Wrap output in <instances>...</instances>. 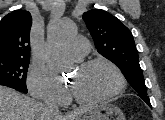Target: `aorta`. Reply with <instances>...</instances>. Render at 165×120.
<instances>
[{"instance_id": "762f6f07", "label": "aorta", "mask_w": 165, "mask_h": 120, "mask_svg": "<svg viewBox=\"0 0 165 120\" xmlns=\"http://www.w3.org/2000/svg\"><path fill=\"white\" fill-rule=\"evenodd\" d=\"M75 33V25L71 20H54L48 28L46 57L50 68L55 72L64 71L67 64L59 57L58 49L64 41Z\"/></svg>"}]
</instances>
